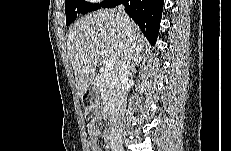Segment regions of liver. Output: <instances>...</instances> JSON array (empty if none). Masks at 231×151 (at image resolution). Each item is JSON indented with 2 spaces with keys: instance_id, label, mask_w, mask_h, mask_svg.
<instances>
[{
  "instance_id": "6515ba94",
  "label": "liver",
  "mask_w": 231,
  "mask_h": 151,
  "mask_svg": "<svg viewBox=\"0 0 231 151\" xmlns=\"http://www.w3.org/2000/svg\"><path fill=\"white\" fill-rule=\"evenodd\" d=\"M129 18V17H128ZM130 33L132 55L136 61L146 39L139 27L129 18L124 25L116 9H100L79 19L67 34V49L73 67L77 95L82 97L95 77L96 66L101 51H107V59L114 63L117 72L124 56L125 46Z\"/></svg>"
}]
</instances>
